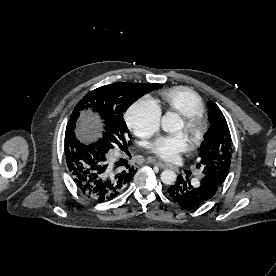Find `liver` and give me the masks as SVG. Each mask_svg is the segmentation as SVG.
I'll return each instance as SVG.
<instances>
[{
  "label": "liver",
  "instance_id": "1",
  "mask_svg": "<svg viewBox=\"0 0 276 276\" xmlns=\"http://www.w3.org/2000/svg\"><path fill=\"white\" fill-rule=\"evenodd\" d=\"M101 131L99 120L91 114H82L76 134L82 141H93Z\"/></svg>",
  "mask_w": 276,
  "mask_h": 276
}]
</instances>
